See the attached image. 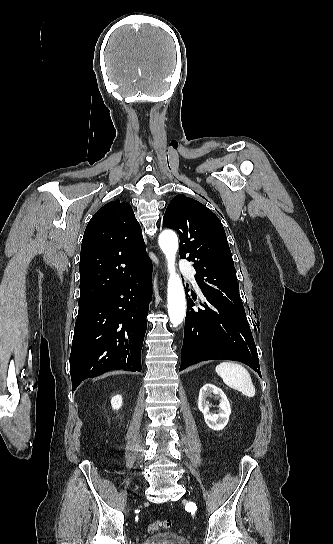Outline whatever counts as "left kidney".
Segmentation results:
<instances>
[{"label":"left kidney","mask_w":333,"mask_h":544,"mask_svg":"<svg viewBox=\"0 0 333 544\" xmlns=\"http://www.w3.org/2000/svg\"><path fill=\"white\" fill-rule=\"evenodd\" d=\"M212 394H215L216 398L220 401L219 411L217 414L210 412L209 409L210 405L207 398ZM198 408L203 413L205 422L210 429L219 431L224 429L228 424L229 416L231 414L230 403L224 392L215 385L207 383L200 389Z\"/></svg>","instance_id":"left-kidney-1"}]
</instances>
